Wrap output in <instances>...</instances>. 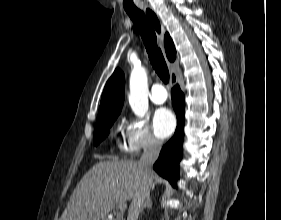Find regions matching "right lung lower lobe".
Listing matches in <instances>:
<instances>
[{"instance_id":"right-lung-lower-lobe-1","label":"right lung lower lobe","mask_w":281,"mask_h":220,"mask_svg":"<svg viewBox=\"0 0 281 220\" xmlns=\"http://www.w3.org/2000/svg\"><path fill=\"white\" fill-rule=\"evenodd\" d=\"M172 105L177 115V129L173 137L162 148L153 168L159 175L168 179L175 186L179 177V162L182 159L183 128L185 124V100L179 86H175L172 90Z\"/></svg>"}]
</instances>
